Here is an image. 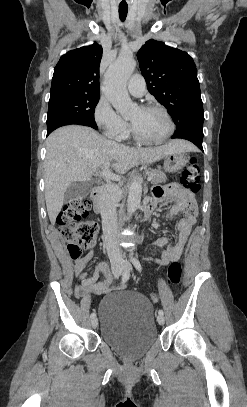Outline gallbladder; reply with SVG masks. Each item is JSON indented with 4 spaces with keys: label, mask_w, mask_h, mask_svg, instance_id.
Here are the masks:
<instances>
[{
    "label": "gallbladder",
    "mask_w": 247,
    "mask_h": 407,
    "mask_svg": "<svg viewBox=\"0 0 247 407\" xmlns=\"http://www.w3.org/2000/svg\"><path fill=\"white\" fill-rule=\"evenodd\" d=\"M94 182L92 180L83 181V182H73L64 194V202L67 203L73 199H81L86 197Z\"/></svg>",
    "instance_id": "gallbladder-1"
}]
</instances>
